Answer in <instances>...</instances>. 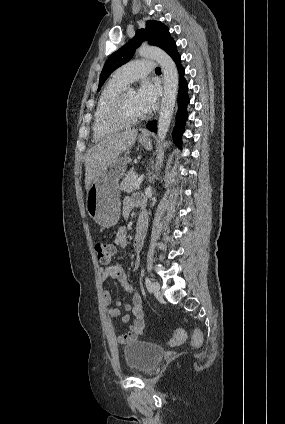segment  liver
<instances>
[{
    "label": "liver",
    "instance_id": "1",
    "mask_svg": "<svg viewBox=\"0 0 285 424\" xmlns=\"http://www.w3.org/2000/svg\"><path fill=\"white\" fill-rule=\"evenodd\" d=\"M137 134V130L112 134L87 151L85 156L86 189L99 177L110 162L134 145Z\"/></svg>",
    "mask_w": 285,
    "mask_h": 424
}]
</instances>
